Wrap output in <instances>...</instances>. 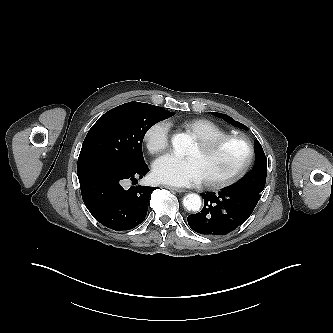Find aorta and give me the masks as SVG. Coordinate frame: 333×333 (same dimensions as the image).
Listing matches in <instances>:
<instances>
[{"instance_id": "aorta-1", "label": "aorta", "mask_w": 333, "mask_h": 333, "mask_svg": "<svg viewBox=\"0 0 333 333\" xmlns=\"http://www.w3.org/2000/svg\"><path fill=\"white\" fill-rule=\"evenodd\" d=\"M171 142L175 154L179 157L184 156L192 145L190 136L185 133H177L173 135ZM183 205L189 211H199L202 201L199 195L188 194L183 199Z\"/></svg>"}]
</instances>
